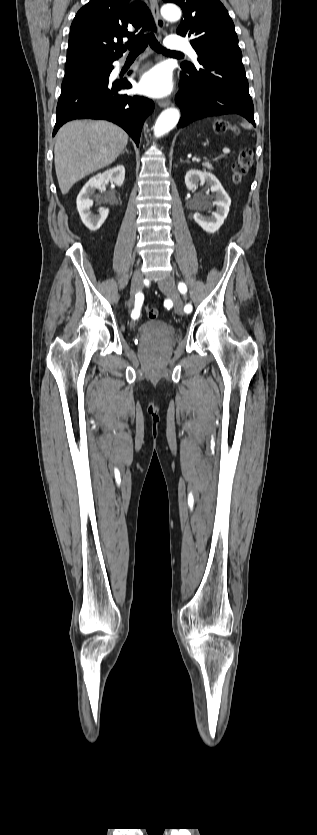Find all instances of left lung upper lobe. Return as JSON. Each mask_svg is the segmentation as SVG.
I'll return each instance as SVG.
<instances>
[{
    "label": "left lung upper lobe",
    "mask_w": 317,
    "mask_h": 835,
    "mask_svg": "<svg viewBox=\"0 0 317 835\" xmlns=\"http://www.w3.org/2000/svg\"><path fill=\"white\" fill-rule=\"evenodd\" d=\"M175 3L183 11L177 34L191 36L190 43L200 58L203 56L242 57L235 27L226 8L218 0H163ZM198 57V61H199ZM182 69L195 68L182 63Z\"/></svg>",
    "instance_id": "1"
}]
</instances>
